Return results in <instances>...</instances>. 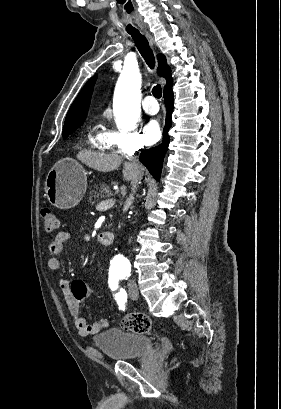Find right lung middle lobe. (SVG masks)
<instances>
[{
  "instance_id": "1",
  "label": "right lung middle lobe",
  "mask_w": 281,
  "mask_h": 409,
  "mask_svg": "<svg viewBox=\"0 0 281 409\" xmlns=\"http://www.w3.org/2000/svg\"><path fill=\"white\" fill-rule=\"evenodd\" d=\"M80 125L76 126H64L63 139H66L72 132H74Z\"/></svg>"
}]
</instances>
